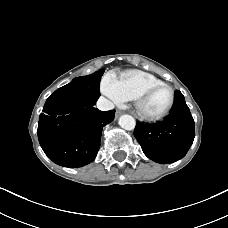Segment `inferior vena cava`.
<instances>
[{"label":"inferior vena cava","mask_w":228,"mask_h":228,"mask_svg":"<svg viewBox=\"0 0 228 228\" xmlns=\"http://www.w3.org/2000/svg\"><path fill=\"white\" fill-rule=\"evenodd\" d=\"M96 105L97 108L102 111L112 110L115 107L114 104L105 97H100Z\"/></svg>","instance_id":"obj_1"}]
</instances>
